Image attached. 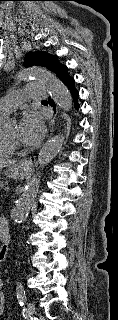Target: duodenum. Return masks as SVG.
I'll use <instances>...</instances> for the list:
<instances>
[{"mask_svg":"<svg viewBox=\"0 0 118 320\" xmlns=\"http://www.w3.org/2000/svg\"><path fill=\"white\" fill-rule=\"evenodd\" d=\"M0 240L3 242L4 247L8 245L10 240L8 221L5 217H0Z\"/></svg>","mask_w":118,"mask_h":320,"instance_id":"410a0bca","label":"duodenum"}]
</instances>
